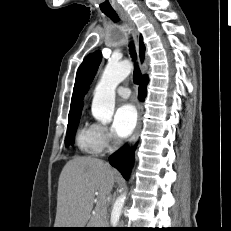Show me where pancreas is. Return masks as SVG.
Wrapping results in <instances>:
<instances>
[{"label":"pancreas","instance_id":"pancreas-1","mask_svg":"<svg viewBox=\"0 0 231 231\" xmlns=\"http://www.w3.org/2000/svg\"><path fill=\"white\" fill-rule=\"evenodd\" d=\"M90 224H93L96 227L104 228L108 224L107 219V210L104 204L100 205L96 209V214L90 220Z\"/></svg>","mask_w":231,"mask_h":231}]
</instances>
